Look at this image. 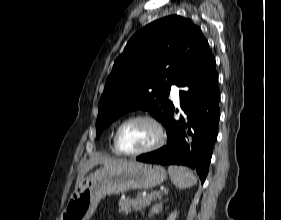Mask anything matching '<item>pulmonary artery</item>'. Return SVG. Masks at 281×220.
<instances>
[{"label":"pulmonary artery","mask_w":281,"mask_h":220,"mask_svg":"<svg viewBox=\"0 0 281 220\" xmlns=\"http://www.w3.org/2000/svg\"><path fill=\"white\" fill-rule=\"evenodd\" d=\"M171 99L174 101L176 105L179 104V90L177 87H172L171 89Z\"/></svg>","instance_id":"obj_1"}]
</instances>
